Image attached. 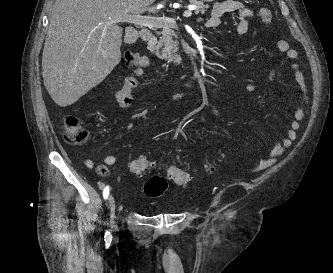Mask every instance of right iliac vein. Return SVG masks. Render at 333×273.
Segmentation results:
<instances>
[{"label": "right iliac vein", "mask_w": 333, "mask_h": 273, "mask_svg": "<svg viewBox=\"0 0 333 273\" xmlns=\"http://www.w3.org/2000/svg\"><path fill=\"white\" fill-rule=\"evenodd\" d=\"M109 209H110V229L111 231L115 232L117 231V224H116V221H115V198L114 196L111 194L109 196Z\"/></svg>", "instance_id": "63e3f726"}]
</instances>
